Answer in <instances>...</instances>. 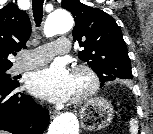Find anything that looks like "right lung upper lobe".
I'll list each match as a JSON object with an SVG mask.
<instances>
[{
  "label": "right lung upper lobe",
  "mask_w": 153,
  "mask_h": 134,
  "mask_svg": "<svg viewBox=\"0 0 153 134\" xmlns=\"http://www.w3.org/2000/svg\"><path fill=\"white\" fill-rule=\"evenodd\" d=\"M30 34L31 23L25 11L12 3L0 10V69L13 65L8 55L26 48Z\"/></svg>",
  "instance_id": "1"
}]
</instances>
